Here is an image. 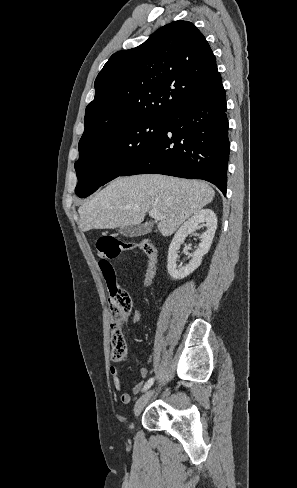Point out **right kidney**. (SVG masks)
<instances>
[{
    "mask_svg": "<svg viewBox=\"0 0 297 488\" xmlns=\"http://www.w3.org/2000/svg\"><path fill=\"white\" fill-rule=\"evenodd\" d=\"M201 223H206V231L199 237L201 242L197 250L192 254L191 260L185 266L177 267L178 252L185 238L195 233ZM217 228V217L211 209H201L189 218L179 228L169 246L167 269L174 279H182L196 270L202 261V257L210 250Z\"/></svg>",
    "mask_w": 297,
    "mask_h": 488,
    "instance_id": "1",
    "label": "right kidney"
}]
</instances>
